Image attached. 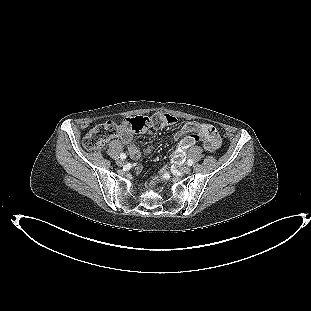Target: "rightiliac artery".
<instances>
[{
  "label": "right iliac artery",
  "mask_w": 311,
  "mask_h": 311,
  "mask_svg": "<svg viewBox=\"0 0 311 311\" xmlns=\"http://www.w3.org/2000/svg\"><path fill=\"white\" fill-rule=\"evenodd\" d=\"M120 157L121 159H126V155L124 153H121Z\"/></svg>",
  "instance_id": "right-iliac-artery-1"
}]
</instances>
